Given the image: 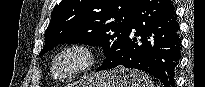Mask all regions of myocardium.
<instances>
[{
	"label": "myocardium",
	"instance_id": "obj_1",
	"mask_svg": "<svg viewBox=\"0 0 205 87\" xmlns=\"http://www.w3.org/2000/svg\"><path fill=\"white\" fill-rule=\"evenodd\" d=\"M74 53L80 57V62L69 72L58 75L55 71L56 62L65 54ZM97 63V56L94 49L84 43H70L59 48L52 56L50 61V73L56 80H69L81 76L91 71Z\"/></svg>",
	"mask_w": 205,
	"mask_h": 87
}]
</instances>
